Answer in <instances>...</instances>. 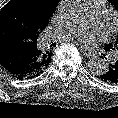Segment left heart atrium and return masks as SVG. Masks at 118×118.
I'll return each mask as SVG.
<instances>
[{"label":"left heart atrium","mask_w":118,"mask_h":118,"mask_svg":"<svg viewBox=\"0 0 118 118\" xmlns=\"http://www.w3.org/2000/svg\"><path fill=\"white\" fill-rule=\"evenodd\" d=\"M83 38H84V39H88V36H87V35H84Z\"/></svg>","instance_id":"obj_1"}]
</instances>
